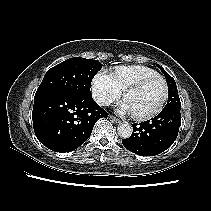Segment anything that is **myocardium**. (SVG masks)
<instances>
[{
  "instance_id": "f54148a6",
  "label": "myocardium",
  "mask_w": 211,
  "mask_h": 211,
  "mask_svg": "<svg viewBox=\"0 0 211 211\" xmlns=\"http://www.w3.org/2000/svg\"><path fill=\"white\" fill-rule=\"evenodd\" d=\"M154 81H161L164 84V87H165L164 97H163L160 105L154 111H152L148 114H144V115H139V114L133 113V117L138 121L150 120V119L156 117L157 115H159L163 111V109H164V107H165V105H166V103L169 99V94H170L169 85H168L167 81L162 76L159 75V76H152V77L143 78V79L139 80L138 82L130 85L129 87H127L124 90L123 97L125 99L126 96L129 93H131L133 91H137V90L143 88L144 86H146L149 83L154 82Z\"/></svg>"
}]
</instances>
